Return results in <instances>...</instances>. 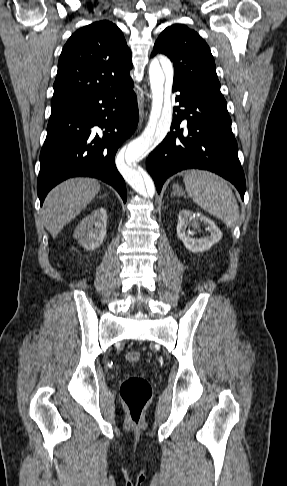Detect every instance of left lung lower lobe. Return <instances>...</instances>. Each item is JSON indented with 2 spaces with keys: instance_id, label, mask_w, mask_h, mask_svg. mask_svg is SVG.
I'll return each instance as SVG.
<instances>
[{
  "instance_id": "left-lung-lower-lobe-1",
  "label": "left lung lower lobe",
  "mask_w": 287,
  "mask_h": 486,
  "mask_svg": "<svg viewBox=\"0 0 287 486\" xmlns=\"http://www.w3.org/2000/svg\"><path fill=\"white\" fill-rule=\"evenodd\" d=\"M175 91L180 92L175 98L179 106L174 108L171 130L146 161L158 193L169 176L184 169L198 168L215 172L232 182L243 199L245 176L229 113L184 81L174 80ZM184 119H187L186 129L180 128Z\"/></svg>"
}]
</instances>
